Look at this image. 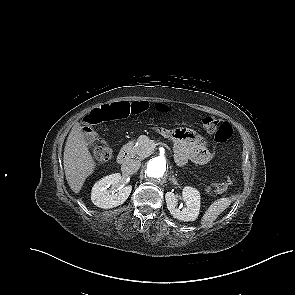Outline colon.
<instances>
[{
	"mask_svg": "<svg viewBox=\"0 0 295 295\" xmlns=\"http://www.w3.org/2000/svg\"><path fill=\"white\" fill-rule=\"evenodd\" d=\"M147 108L148 103L144 101L107 104L91 111L84 118V126L85 128H90L93 125L103 122L124 119L130 115L142 113ZM159 109L161 111L166 110L164 106H160ZM202 126L208 133L215 136L211 139L212 153L217 155L219 153V142L222 144L228 143L233 135V128L228 123H221L212 117H204L202 119ZM93 157L98 163L103 164L110 159L111 152L106 146L96 144L93 147ZM229 186L230 179L226 178L219 183L206 185L205 189L208 193H221L226 191Z\"/></svg>",
	"mask_w": 295,
	"mask_h": 295,
	"instance_id": "1",
	"label": "colon"
}]
</instances>
